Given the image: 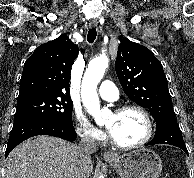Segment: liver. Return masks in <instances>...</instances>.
Returning a JSON list of instances; mask_svg holds the SVG:
<instances>
[{"label": "liver", "mask_w": 194, "mask_h": 178, "mask_svg": "<svg viewBox=\"0 0 194 178\" xmlns=\"http://www.w3.org/2000/svg\"><path fill=\"white\" fill-rule=\"evenodd\" d=\"M91 158L83 160L79 148L63 139L37 136L18 145L7 157L5 178H89Z\"/></svg>", "instance_id": "1"}]
</instances>
